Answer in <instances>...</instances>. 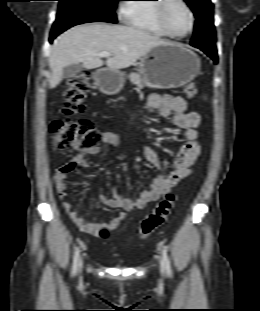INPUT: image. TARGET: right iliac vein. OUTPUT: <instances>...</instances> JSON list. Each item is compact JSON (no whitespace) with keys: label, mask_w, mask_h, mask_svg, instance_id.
Segmentation results:
<instances>
[{"label":"right iliac vein","mask_w":260,"mask_h":311,"mask_svg":"<svg viewBox=\"0 0 260 311\" xmlns=\"http://www.w3.org/2000/svg\"><path fill=\"white\" fill-rule=\"evenodd\" d=\"M82 268V260L79 261V271L81 270Z\"/></svg>","instance_id":"63e3f726"}]
</instances>
